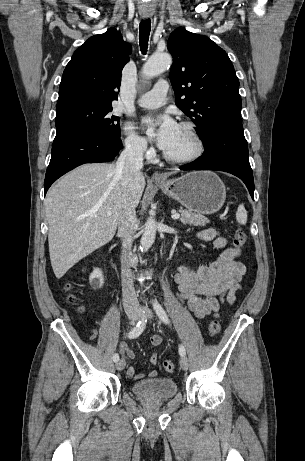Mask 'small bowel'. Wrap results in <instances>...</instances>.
<instances>
[{
  "instance_id": "small-bowel-1",
  "label": "small bowel",
  "mask_w": 305,
  "mask_h": 461,
  "mask_svg": "<svg viewBox=\"0 0 305 461\" xmlns=\"http://www.w3.org/2000/svg\"><path fill=\"white\" fill-rule=\"evenodd\" d=\"M197 236L202 241L212 243L215 248L224 249L217 259L197 269L179 266L175 276L179 298L189 311L197 318L203 319L221 309L224 295L228 294V303L235 301V292L240 288L239 283L246 273V267L237 260L241 253L240 249L228 247V240L222 237L217 229L202 230ZM162 341L160 335L148 338L152 347L160 346ZM119 349L123 355L134 358V353L126 343H121ZM150 363L154 366L159 363L156 352L151 353ZM127 374L131 378L141 377L131 367L128 368ZM150 376L156 377L157 371H151Z\"/></svg>"
}]
</instances>
